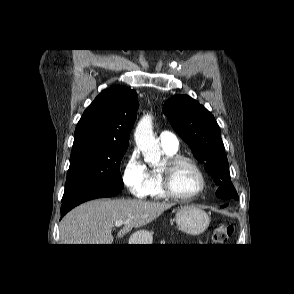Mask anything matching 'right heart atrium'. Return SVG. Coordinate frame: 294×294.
<instances>
[{
  "mask_svg": "<svg viewBox=\"0 0 294 294\" xmlns=\"http://www.w3.org/2000/svg\"><path fill=\"white\" fill-rule=\"evenodd\" d=\"M122 182L130 194L136 198H146L150 184V171L136 148L122 161Z\"/></svg>",
  "mask_w": 294,
  "mask_h": 294,
  "instance_id": "d8ad5b80",
  "label": "right heart atrium"
}]
</instances>
